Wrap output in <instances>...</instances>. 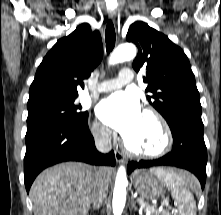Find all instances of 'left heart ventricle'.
Here are the masks:
<instances>
[{"instance_id": "1", "label": "left heart ventricle", "mask_w": 221, "mask_h": 215, "mask_svg": "<svg viewBox=\"0 0 221 215\" xmlns=\"http://www.w3.org/2000/svg\"><path fill=\"white\" fill-rule=\"evenodd\" d=\"M125 139L135 149L148 151L157 149L162 141L161 133L156 123L144 115H142L135 131Z\"/></svg>"}]
</instances>
